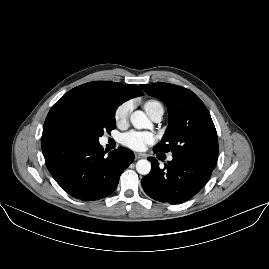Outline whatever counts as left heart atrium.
<instances>
[{
    "label": "left heart atrium",
    "mask_w": 269,
    "mask_h": 269,
    "mask_svg": "<svg viewBox=\"0 0 269 269\" xmlns=\"http://www.w3.org/2000/svg\"><path fill=\"white\" fill-rule=\"evenodd\" d=\"M156 141V136L147 132L130 131L120 137V143L134 151H143Z\"/></svg>",
    "instance_id": "39dd6f15"
}]
</instances>
